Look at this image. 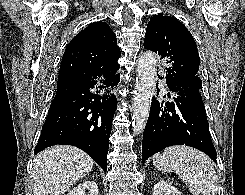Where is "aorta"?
Here are the masks:
<instances>
[{"label":"aorta","mask_w":245,"mask_h":195,"mask_svg":"<svg viewBox=\"0 0 245 195\" xmlns=\"http://www.w3.org/2000/svg\"><path fill=\"white\" fill-rule=\"evenodd\" d=\"M156 72V56L144 52L138 59L136 83L133 92L132 119L135 134L143 132L149 116Z\"/></svg>","instance_id":"aorta-1"}]
</instances>
